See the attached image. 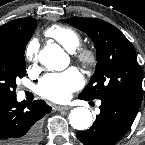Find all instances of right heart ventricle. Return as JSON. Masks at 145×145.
<instances>
[{"mask_svg":"<svg viewBox=\"0 0 145 145\" xmlns=\"http://www.w3.org/2000/svg\"><path fill=\"white\" fill-rule=\"evenodd\" d=\"M46 35L55 39L66 50L74 51L81 43L80 34L67 26L55 25L46 30Z\"/></svg>","mask_w":145,"mask_h":145,"instance_id":"obj_1","label":"right heart ventricle"}]
</instances>
